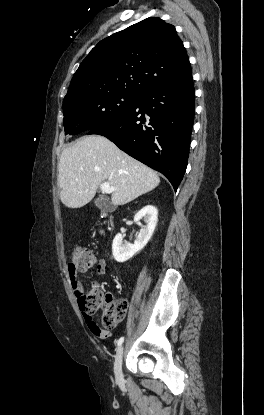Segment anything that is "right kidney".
Wrapping results in <instances>:
<instances>
[{"mask_svg":"<svg viewBox=\"0 0 264 415\" xmlns=\"http://www.w3.org/2000/svg\"><path fill=\"white\" fill-rule=\"evenodd\" d=\"M144 220L146 225L142 226L140 220ZM134 221L141 226V230L134 241V244L123 241V236L118 233L112 244V254L117 262H125L132 258L136 253L143 249L151 239L158 222V210L155 206L147 205L137 212Z\"/></svg>","mask_w":264,"mask_h":415,"instance_id":"right-kidney-1","label":"right kidney"}]
</instances>
